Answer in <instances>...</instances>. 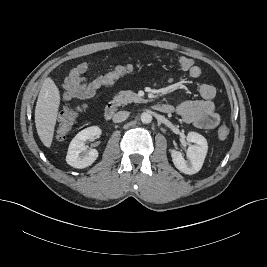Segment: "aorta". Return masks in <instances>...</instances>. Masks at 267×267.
Returning a JSON list of instances; mask_svg holds the SVG:
<instances>
[{"label":"aorta","instance_id":"obj_1","mask_svg":"<svg viewBox=\"0 0 267 267\" xmlns=\"http://www.w3.org/2000/svg\"><path fill=\"white\" fill-rule=\"evenodd\" d=\"M141 121L144 124L150 123L152 121V115L150 113H148V112H143L141 114Z\"/></svg>","mask_w":267,"mask_h":267}]
</instances>
